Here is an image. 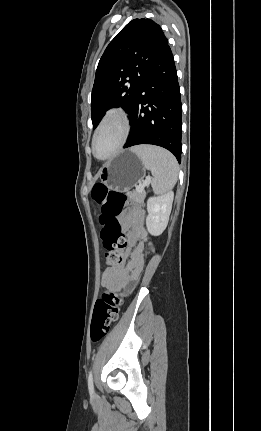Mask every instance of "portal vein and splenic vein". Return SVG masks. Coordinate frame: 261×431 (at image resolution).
I'll return each instance as SVG.
<instances>
[{"label": "portal vein and splenic vein", "instance_id": "obj_1", "mask_svg": "<svg viewBox=\"0 0 261 431\" xmlns=\"http://www.w3.org/2000/svg\"><path fill=\"white\" fill-rule=\"evenodd\" d=\"M149 183H150V177H147L146 180L136 188V190L139 192L143 191L144 187L147 186Z\"/></svg>", "mask_w": 261, "mask_h": 431}]
</instances>
